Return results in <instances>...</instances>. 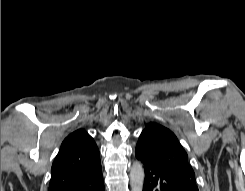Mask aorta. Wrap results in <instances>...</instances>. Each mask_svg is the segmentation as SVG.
<instances>
[{
    "mask_svg": "<svg viewBox=\"0 0 245 191\" xmlns=\"http://www.w3.org/2000/svg\"><path fill=\"white\" fill-rule=\"evenodd\" d=\"M144 184V169L140 162H134L130 170V186L132 191H142Z\"/></svg>",
    "mask_w": 245,
    "mask_h": 191,
    "instance_id": "obj_1",
    "label": "aorta"
}]
</instances>
